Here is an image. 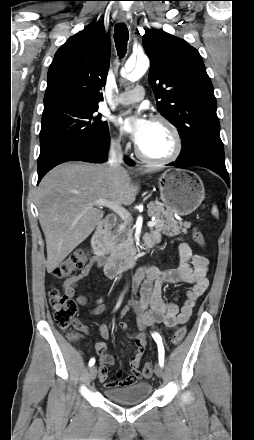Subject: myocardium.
I'll use <instances>...</instances> for the list:
<instances>
[{
    "instance_id": "f54148a6",
    "label": "myocardium",
    "mask_w": 254,
    "mask_h": 440,
    "mask_svg": "<svg viewBox=\"0 0 254 440\" xmlns=\"http://www.w3.org/2000/svg\"><path fill=\"white\" fill-rule=\"evenodd\" d=\"M152 122L162 123L166 127H168V129L171 131V133L174 136V140H175L174 150H173L172 154H170L167 157L154 158V157H150V156H147L144 153H142V151L139 149V147L137 145L135 148L136 155L142 161L147 162V163H151V164H169V163L174 162L175 160H177L179 158V156L181 155L182 150H183V139H182V136H181L179 129L171 120H169L168 118H166L164 116H154L152 118Z\"/></svg>"
}]
</instances>
